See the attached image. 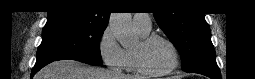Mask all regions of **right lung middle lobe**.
<instances>
[{"instance_id":"obj_1","label":"right lung middle lobe","mask_w":255,"mask_h":79,"mask_svg":"<svg viewBox=\"0 0 255 79\" xmlns=\"http://www.w3.org/2000/svg\"><path fill=\"white\" fill-rule=\"evenodd\" d=\"M106 27L66 21L47 22L36 64L51 60H77L101 65L100 39Z\"/></svg>"}]
</instances>
